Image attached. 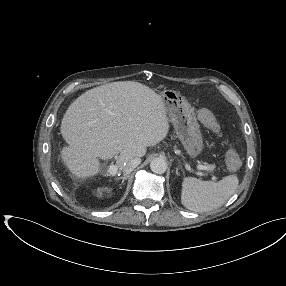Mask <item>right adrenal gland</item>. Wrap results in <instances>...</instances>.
<instances>
[{"instance_id":"1","label":"right adrenal gland","mask_w":286,"mask_h":286,"mask_svg":"<svg viewBox=\"0 0 286 286\" xmlns=\"http://www.w3.org/2000/svg\"><path fill=\"white\" fill-rule=\"evenodd\" d=\"M128 177H129V176H123V177H120V178H118V179H122V184H123L124 181H125L126 179H128Z\"/></svg>"}]
</instances>
